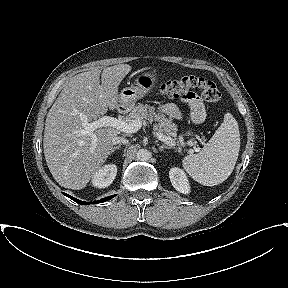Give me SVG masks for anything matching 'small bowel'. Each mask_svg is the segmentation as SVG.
Returning a JSON list of instances; mask_svg holds the SVG:
<instances>
[{
    "instance_id": "1",
    "label": "small bowel",
    "mask_w": 288,
    "mask_h": 288,
    "mask_svg": "<svg viewBox=\"0 0 288 288\" xmlns=\"http://www.w3.org/2000/svg\"><path fill=\"white\" fill-rule=\"evenodd\" d=\"M183 101L189 105L193 120L197 123L202 122L205 117V112L200 98L194 93H189L183 97ZM160 110L172 118H181L179 108L174 103L161 105Z\"/></svg>"
}]
</instances>
